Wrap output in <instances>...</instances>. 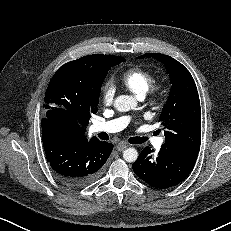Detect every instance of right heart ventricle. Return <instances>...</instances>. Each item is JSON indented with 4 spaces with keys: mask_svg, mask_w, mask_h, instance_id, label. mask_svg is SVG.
I'll return each mask as SVG.
<instances>
[{
    "mask_svg": "<svg viewBox=\"0 0 231 231\" xmlns=\"http://www.w3.org/2000/svg\"><path fill=\"white\" fill-rule=\"evenodd\" d=\"M121 84L130 90L138 98H142L148 92L152 82V73L142 67H131L120 76Z\"/></svg>",
    "mask_w": 231,
    "mask_h": 231,
    "instance_id": "right-heart-ventricle-1",
    "label": "right heart ventricle"
}]
</instances>
